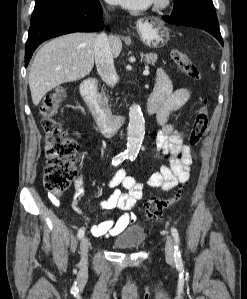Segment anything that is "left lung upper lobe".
I'll use <instances>...</instances> for the list:
<instances>
[{"instance_id":"left-lung-upper-lobe-1","label":"left lung upper lobe","mask_w":247,"mask_h":299,"mask_svg":"<svg viewBox=\"0 0 247 299\" xmlns=\"http://www.w3.org/2000/svg\"><path fill=\"white\" fill-rule=\"evenodd\" d=\"M190 7H198L200 9L216 13L212 0H174L172 14Z\"/></svg>"}]
</instances>
